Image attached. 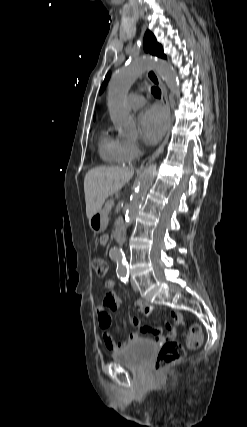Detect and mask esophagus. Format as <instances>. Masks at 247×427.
I'll use <instances>...</instances> for the list:
<instances>
[{
	"label": "esophagus",
	"instance_id": "1",
	"mask_svg": "<svg viewBox=\"0 0 247 427\" xmlns=\"http://www.w3.org/2000/svg\"><path fill=\"white\" fill-rule=\"evenodd\" d=\"M147 77L154 85H156L160 88V90H161V102H162L163 106L165 107V109L168 113L169 121H168L167 134H166L163 142L160 144V146L156 149L155 152H153L150 156H148L141 163L140 169L148 167L162 153L166 143L168 142V139L170 136V130H171V110H170V105H169V101H168V95H167L166 87L153 68H149L147 70Z\"/></svg>",
	"mask_w": 247,
	"mask_h": 427
}]
</instances>
